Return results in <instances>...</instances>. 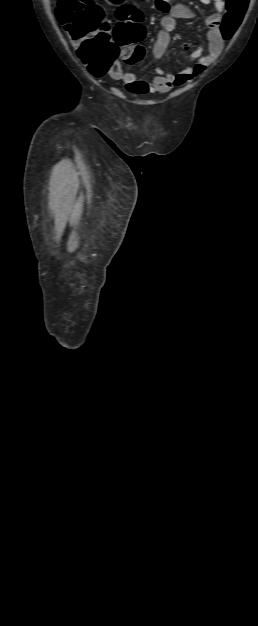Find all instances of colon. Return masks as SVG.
I'll use <instances>...</instances> for the list:
<instances>
[{"instance_id": "1", "label": "colon", "mask_w": 258, "mask_h": 626, "mask_svg": "<svg viewBox=\"0 0 258 626\" xmlns=\"http://www.w3.org/2000/svg\"><path fill=\"white\" fill-rule=\"evenodd\" d=\"M106 1L113 6H123L127 0ZM248 4L249 0H226L220 25L223 39L229 40L237 31ZM55 14L75 46L78 58L95 76L106 74L120 56L129 64L138 63L145 56L144 47L136 44L145 34L143 14L137 9H122L118 14L120 23L113 30L105 21L103 8L94 0H58ZM122 47H125L123 52Z\"/></svg>"}]
</instances>
